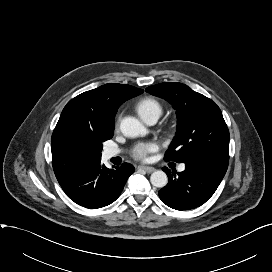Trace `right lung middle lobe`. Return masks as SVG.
I'll list each match as a JSON object with an SVG mask.
<instances>
[{"label":"right lung middle lobe","mask_w":272,"mask_h":272,"mask_svg":"<svg viewBox=\"0 0 272 272\" xmlns=\"http://www.w3.org/2000/svg\"><path fill=\"white\" fill-rule=\"evenodd\" d=\"M114 131L104 133L101 135H92L84 139L81 144L84 149L96 159H101L102 143L113 137Z\"/></svg>","instance_id":"obj_1"}]
</instances>
